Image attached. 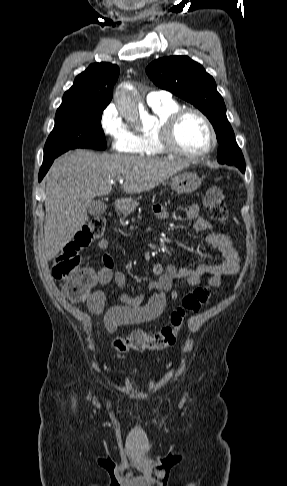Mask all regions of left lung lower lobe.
Segmentation results:
<instances>
[{
    "label": "left lung lower lobe",
    "instance_id": "0a47b994",
    "mask_svg": "<svg viewBox=\"0 0 287 486\" xmlns=\"http://www.w3.org/2000/svg\"><path fill=\"white\" fill-rule=\"evenodd\" d=\"M242 172H245V167L240 168Z\"/></svg>",
    "mask_w": 287,
    "mask_h": 486
}]
</instances>
